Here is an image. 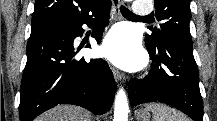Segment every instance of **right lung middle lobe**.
Listing matches in <instances>:
<instances>
[{"label":"right lung middle lobe","mask_w":217,"mask_h":121,"mask_svg":"<svg viewBox=\"0 0 217 121\" xmlns=\"http://www.w3.org/2000/svg\"><path fill=\"white\" fill-rule=\"evenodd\" d=\"M69 25L70 24L68 23L55 21V20L35 22V23H32L31 36L39 34V33H43L46 31L67 27Z\"/></svg>","instance_id":"right-lung-middle-lobe-1"}]
</instances>
